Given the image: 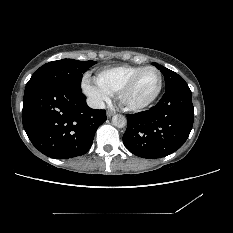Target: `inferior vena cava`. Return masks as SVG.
I'll list each match as a JSON object with an SVG mask.
<instances>
[{
    "mask_svg": "<svg viewBox=\"0 0 233 233\" xmlns=\"http://www.w3.org/2000/svg\"><path fill=\"white\" fill-rule=\"evenodd\" d=\"M87 104L89 107L95 108V109H104L105 108V103L100 99L88 98Z\"/></svg>",
    "mask_w": 233,
    "mask_h": 233,
    "instance_id": "obj_1",
    "label": "inferior vena cava"
}]
</instances>
